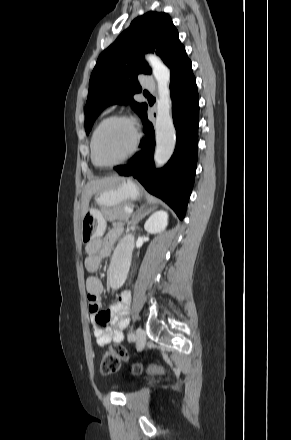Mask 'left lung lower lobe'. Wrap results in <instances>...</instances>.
I'll return each mask as SVG.
<instances>
[{
  "mask_svg": "<svg viewBox=\"0 0 291 440\" xmlns=\"http://www.w3.org/2000/svg\"><path fill=\"white\" fill-rule=\"evenodd\" d=\"M170 70L172 114L177 135L173 156L162 169L155 170V133L146 112L142 118L146 137L141 140V151L129 164L116 166L114 170L121 176L136 178L148 192L165 201L183 219L197 165L199 97L186 52Z\"/></svg>",
  "mask_w": 291,
  "mask_h": 440,
  "instance_id": "1",
  "label": "left lung lower lobe"
}]
</instances>
